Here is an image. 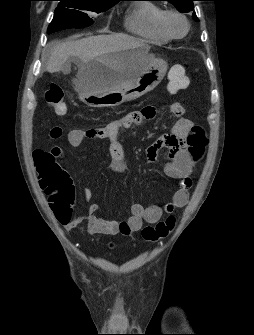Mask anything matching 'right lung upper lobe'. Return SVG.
Wrapping results in <instances>:
<instances>
[{
	"label": "right lung upper lobe",
	"instance_id": "1",
	"mask_svg": "<svg viewBox=\"0 0 254 335\" xmlns=\"http://www.w3.org/2000/svg\"><path fill=\"white\" fill-rule=\"evenodd\" d=\"M94 1L117 3L118 1H121V0H94Z\"/></svg>",
	"mask_w": 254,
	"mask_h": 335
}]
</instances>
